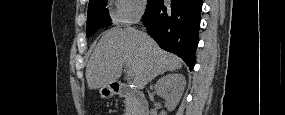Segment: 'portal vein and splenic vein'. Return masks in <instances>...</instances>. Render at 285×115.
<instances>
[{"instance_id":"obj_1","label":"portal vein and splenic vein","mask_w":285,"mask_h":115,"mask_svg":"<svg viewBox=\"0 0 285 115\" xmlns=\"http://www.w3.org/2000/svg\"><path fill=\"white\" fill-rule=\"evenodd\" d=\"M126 74L128 77H132V73L129 70H126Z\"/></svg>"}]
</instances>
